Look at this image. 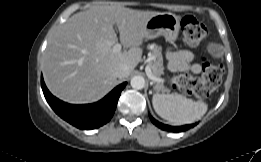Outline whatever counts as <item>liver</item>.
Segmentation results:
<instances>
[{"mask_svg": "<svg viewBox=\"0 0 261 162\" xmlns=\"http://www.w3.org/2000/svg\"><path fill=\"white\" fill-rule=\"evenodd\" d=\"M157 14L160 12L100 5L72 15L51 36L43 56L48 89L75 104L101 99L115 85V67L126 64L130 74L141 61L145 23ZM115 25L128 51L113 52L118 41Z\"/></svg>", "mask_w": 261, "mask_h": 162, "instance_id": "6515ba94", "label": "liver"}]
</instances>
